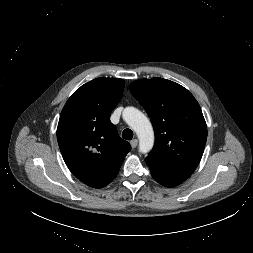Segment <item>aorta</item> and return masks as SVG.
<instances>
[{
	"label": "aorta",
	"instance_id": "1",
	"mask_svg": "<svg viewBox=\"0 0 253 253\" xmlns=\"http://www.w3.org/2000/svg\"><path fill=\"white\" fill-rule=\"evenodd\" d=\"M123 119L138 136L139 152L148 153L154 145V131L149 119L134 107L124 109Z\"/></svg>",
	"mask_w": 253,
	"mask_h": 253
}]
</instances>
